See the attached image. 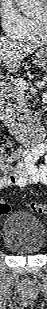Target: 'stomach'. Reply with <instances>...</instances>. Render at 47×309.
I'll return each mask as SVG.
<instances>
[{
  "label": "stomach",
  "instance_id": "stomach-1",
  "mask_svg": "<svg viewBox=\"0 0 47 309\" xmlns=\"http://www.w3.org/2000/svg\"><path fill=\"white\" fill-rule=\"evenodd\" d=\"M33 63L37 67L47 70V47L40 49L35 54Z\"/></svg>",
  "mask_w": 47,
  "mask_h": 309
}]
</instances>
